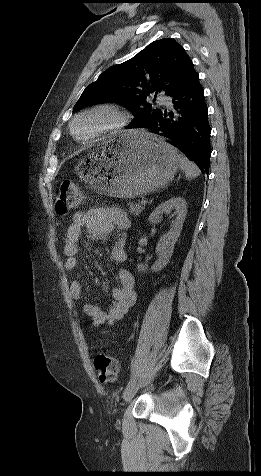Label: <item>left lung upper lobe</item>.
Returning <instances> with one entry per match:
<instances>
[{
	"label": "left lung upper lobe",
	"mask_w": 261,
	"mask_h": 476,
	"mask_svg": "<svg viewBox=\"0 0 261 476\" xmlns=\"http://www.w3.org/2000/svg\"><path fill=\"white\" fill-rule=\"evenodd\" d=\"M192 66L179 43L169 38L154 41L128 61L108 68L88 85L73 112L102 102L120 103L135 116L127 128H139L161 111L147 102L151 95L155 93V100L158 92L173 94Z\"/></svg>",
	"instance_id": "obj_1"
}]
</instances>
